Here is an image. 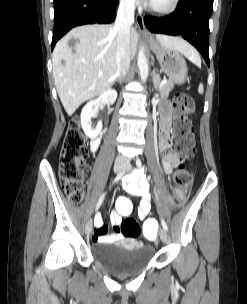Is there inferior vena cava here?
Masks as SVG:
<instances>
[{"mask_svg":"<svg viewBox=\"0 0 247 304\" xmlns=\"http://www.w3.org/2000/svg\"><path fill=\"white\" fill-rule=\"evenodd\" d=\"M134 10L135 0H122L117 12L114 30L117 31L116 76L118 78H123L130 66V30L134 23ZM115 164L124 167L128 164V160L119 155Z\"/></svg>","mask_w":247,"mask_h":304,"instance_id":"obj_1","label":"inferior vena cava"}]
</instances>
